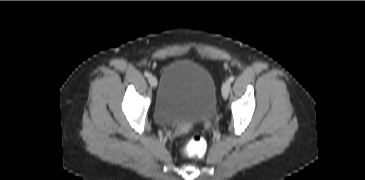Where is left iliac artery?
<instances>
[{
    "instance_id": "left-iliac-artery-1",
    "label": "left iliac artery",
    "mask_w": 365,
    "mask_h": 180,
    "mask_svg": "<svg viewBox=\"0 0 365 180\" xmlns=\"http://www.w3.org/2000/svg\"><path fill=\"white\" fill-rule=\"evenodd\" d=\"M234 79H235V78H234V76H231V77L229 78L230 83H231V82H233V81H234Z\"/></svg>"
}]
</instances>
